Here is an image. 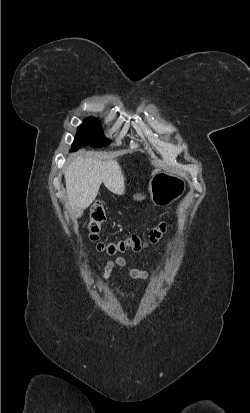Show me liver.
Returning <instances> with one entry per match:
<instances>
[{"label": "liver", "mask_w": 250, "mask_h": 413, "mask_svg": "<svg viewBox=\"0 0 250 413\" xmlns=\"http://www.w3.org/2000/svg\"><path fill=\"white\" fill-rule=\"evenodd\" d=\"M158 170L153 171V175ZM69 206L72 212L88 208L95 200L100 185L116 195L125 191L124 175L116 160L101 161L79 153L71 159L64 172Z\"/></svg>", "instance_id": "liver-1"}]
</instances>
